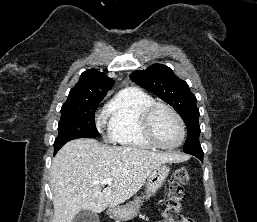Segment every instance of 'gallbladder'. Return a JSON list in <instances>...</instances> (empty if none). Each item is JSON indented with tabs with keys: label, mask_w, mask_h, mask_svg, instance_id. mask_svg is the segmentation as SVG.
Segmentation results:
<instances>
[{
	"label": "gallbladder",
	"mask_w": 257,
	"mask_h": 222,
	"mask_svg": "<svg viewBox=\"0 0 257 222\" xmlns=\"http://www.w3.org/2000/svg\"><path fill=\"white\" fill-rule=\"evenodd\" d=\"M72 222H100L99 216L88 210H81L78 214L75 215Z\"/></svg>",
	"instance_id": "1"
}]
</instances>
